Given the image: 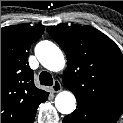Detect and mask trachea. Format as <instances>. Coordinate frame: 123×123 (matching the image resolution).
<instances>
[{"mask_svg":"<svg viewBox=\"0 0 123 123\" xmlns=\"http://www.w3.org/2000/svg\"><path fill=\"white\" fill-rule=\"evenodd\" d=\"M41 85L51 86L53 84V79L50 73L43 71L39 76Z\"/></svg>","mask_w":123,"mask_h":123,"instance_id":"obj_1","label":"trachea"}]
</instances>
